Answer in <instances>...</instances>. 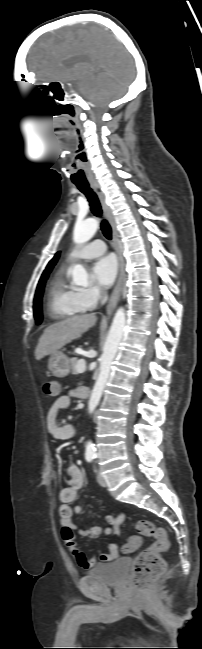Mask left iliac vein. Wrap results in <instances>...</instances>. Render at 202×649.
Here are the masks:
<instances>
[{"mask_svg":"<svg viewBox=\"0 0 202 649\" xmlns=\"http://www.w3.org/2000/svg\"><path fill=\"white\" fill-rule=\"evenodd\" d=\"M97 481H98L99 485H101L102 487H106V481H105L104 477L100 473H98V475H97Z\"/></svg>","mask_w":202,"mask_h":649,"instance_id":"4c4485c4","label":"left iliac vein"}]
</instances>
